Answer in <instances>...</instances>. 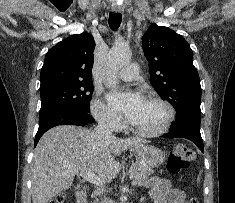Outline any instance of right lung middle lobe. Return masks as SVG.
<instances>
[{
    "mask_svg": "<svg viewBox=\"0 0 235 203\" xmlns=\"http://www.w3.org/2000/svg\"><path fill=\"white\" fill-rule=\"evenodd\" d=\"M92 81H56L40 86L41 109L39 116L60 109H74L88 113L92 97Z\"/></svg>",
    "mask_w": 235,
    "mask_h": 203,
    "instance_id": "dd1d6c3e",
    "label": "right lung middle lobe"
}]
</instances>
